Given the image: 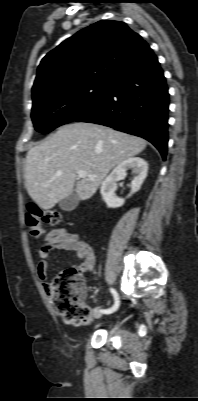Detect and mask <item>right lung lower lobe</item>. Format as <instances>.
I'll return each mask as SVG.
<instances>
[{
	"label": "right lung lower lobe",
	"mask_w": 198,
	"mask_h": 401,
	"mask_svg": "<svg viewBox=\"0 0 198 401\" xmlns=\"http://www.w3.org/2000/svg\"><path fill=\"white\" fill-rule=\"evenodd\" d=\"M169 96L156 55L150 49L108 83L100 100L77 122L96 123L145 138L165 160Z\"/></svg>",
	"instance_id": "right-lung-lower-lobe-1"
}]
</instances>
